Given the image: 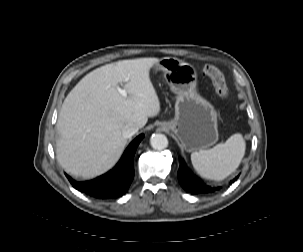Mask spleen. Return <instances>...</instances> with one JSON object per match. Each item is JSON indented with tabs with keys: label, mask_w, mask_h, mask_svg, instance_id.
Instances as JSON below:
<instances>
[{
	"label": "spleen",
	"mask_w": 303,
	"mask_h": 252,
	"mask_svg": "<svg viewBox=\"0 0 303 252\" xmlns=\"http://www.w3.org/2000/svg\"><path fill=\"white\" fill-rule=\"evenodd\" d=\"M246 150L242 135L233 134L225 143H219L212 149L195 151L191 162L197 173L203 178L220 181L227 178L239 167Z\"/></svg>",
	"instance_id": "1"
}]
</instances>
